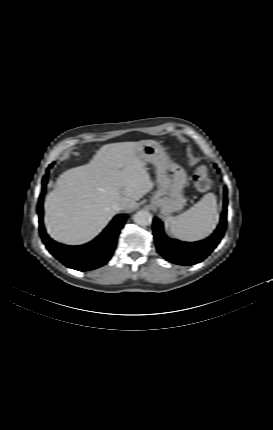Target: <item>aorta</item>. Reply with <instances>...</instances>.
<instances>
[{
    "mask_svg": "<svg viewBox=\"0 0 273 430\" xmlns=\"http://www.w3.org/2000/svg\"><path fill=\"white\" fill-rule=\"evenodd\" d=\"M134 222L140 226H148L152 223V214L146 210L138 211L134 217Z\"/></svg>",
    "mask_w": 273,
    "mask_h": 430,
    "instance_id": "obj_1",
    "label": "aorta"
}]
</instances>
